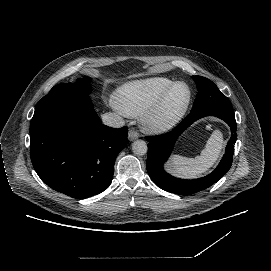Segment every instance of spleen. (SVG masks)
Returning <instances> with one entry per match:
<instances>
[{"instance_id":"1","label":"spleen","mask_w":271,"mask_h":271,"mask_svg":"<svg viewBox=\"0 0 271 271\" xmlns=\"http://www.w3.org/2000/svg\"><path fill=\"white\" fill-rule=\"evenodd\" d=\"M223 144L222 133L219 130H215L208 139L205 149L201 151L200 156L187 158L174 155L171 163L173 172L188 178L205 173L220 157Z\"/></svg>"}]
</instances>
